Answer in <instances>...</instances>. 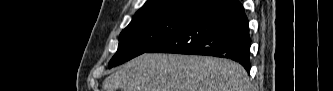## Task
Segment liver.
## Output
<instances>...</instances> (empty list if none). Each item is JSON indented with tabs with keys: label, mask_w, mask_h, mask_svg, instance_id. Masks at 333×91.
<instances>
[{
	"label": "liver",
	"mask_w": 333,
	"mask_h": 91,
	"mask_svg": "<svg viewBox=\"0 0 333 91\" xmlns=\"http://www.w3.org/2000/svg\"><path fill=\"white\" fill-rule=\"evenodd\" d=\"M104 91H249L246 70L221 58L142 54L107 77Z\"/></svg>",
	"instance_id": "6515ba94"
}]
</instances>
